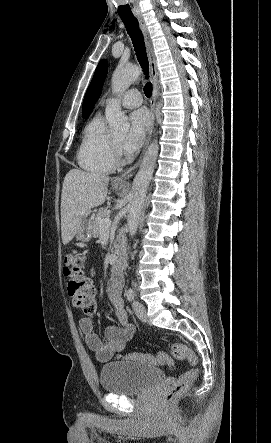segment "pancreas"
<instances>
[{
    "label": "pancreas",
    "mask_w": 271,
    "mask_h": 443,
    "mask_svg": "<svg viewBox=\"0 0 271 443\" xmlns=\"http://www.w3.org/2000/svg\"><path fill=\"white\" fill-rule=\"evenodd\" d=\"M107 216H109L108 210H104V208H99L97 214H95L94 220H92L91 222L93 225L94 237H98L100 231H102V229H105V227H102V225H100V220H104V218H107Z\"/></svg>",
    "instance_id": "1"
}]
</instances>
